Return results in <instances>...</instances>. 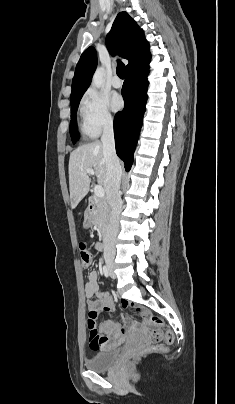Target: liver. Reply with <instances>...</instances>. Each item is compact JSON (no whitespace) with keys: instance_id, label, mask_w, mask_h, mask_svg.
<instances>
[{"instance_id":"6515ba94","label":"liver","mask_w":235,"mask_h":404,"mask_svg":"<svg viewBox=\"0 0 235 404\" xmlns=\"http://www.w3.org/2000/svg\"><path fill=\"white\" fill-rule=\"evenodd\" d=\"M94 170L99 185H103L107 174L103 155V145L99 141L84 144L70 153L69 158V189L72 209L88 194L91 179L86 169Z\"/></svg>"}]
</instances>
